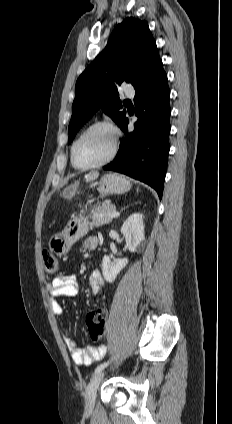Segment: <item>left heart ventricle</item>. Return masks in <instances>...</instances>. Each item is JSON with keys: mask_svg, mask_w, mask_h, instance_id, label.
Here are the masks:
<instances>
[{"mask_svg": "<svg viewBox=\"0 0 232 424\" xmlns=\"http://www.w3.org/2000/svg\"><path fill=\"white\" fill-rule=\"evenodd\" d=\"M112 148V134L97 128L86 134L75 150V160L80 166L94 164L105 158Z\"/></svg>", "mask_w": 232, "mask_h": 424, "instance_id": "left-heart-ventricle-1", "label": "left heart ventricle"}]
</instances>
